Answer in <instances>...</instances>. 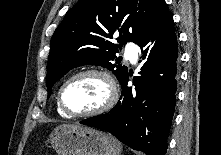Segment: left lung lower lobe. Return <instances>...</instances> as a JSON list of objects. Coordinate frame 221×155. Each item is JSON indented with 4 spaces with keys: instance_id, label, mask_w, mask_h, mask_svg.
I'll list each match as a JSON object with an SVG mask.
<instances>
[{
    "instance_id": "0a47b994",
    "label": "left lung lower lobe",
    "mask_w": 221,
    "mask_h": 155,
    "mask_svg": "<svg viewBox=\"0 0 221 155\" xmlns=\"http://www.w3.org/2000/svg\"><path fill=\"white\" fill-rule=\"evenodd\" d=\"M136 44L145 63L142 76L133 79L135 90L127 86V74L120 82L122 101L110 112L80 123L106 130L147 155H165L175 108L178 58L173 17L166 3L150 19Z\"/></svg>"
}]
</instances>
